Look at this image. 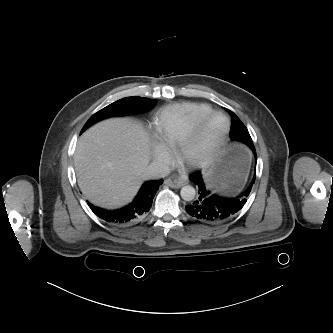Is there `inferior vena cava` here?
Wrapping results in <instances>:
<instances>
[{
	"mask_svg": "<svg viewBox=\"0 0 333 333\" xmlns=\"http://www.w3.org/2000/svg\"><path fill=\"white\" fill-rule=\"evenodd\" d=\"M170 174V168L163 163H151L145 170V178H164Z\"/></svg>",
	"mask_w": 333,
	"mask_h": 333,
	"instance_id": "602c4592",
	"label": "inferior vena cava"
}]
</instances>
